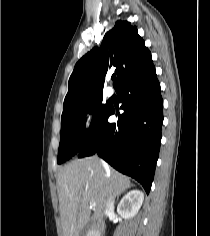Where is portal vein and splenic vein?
<instances>
[{
    "label": "portal vein and splenic vein",
    "instance_id": "obj_1",
    "mask_svg": "<svg viewBox=\"0 0 210 236\" xmlns=\"http://www.w3.org/2000/svg\"><path fill=\"white\" fill-rule=\"evenodd\" d=\"M95 206H96L95 203H90V207H91V208H93V207H95Z\"/></svg>",
    "mask_w": 210,
    "mask_h": 236
}]
</instances>
